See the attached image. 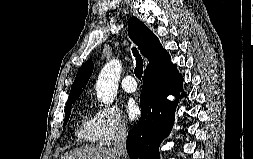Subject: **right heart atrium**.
Masks as SVG:
<instances>
[{
	"label": "right heart atrium",
	"mask_w": 253,
	"mask_h": 159,
	"mask_svg": "<svg viewBox=\"0 0 253 159\" xmlns=\"http://www.w3.org/2000/svg\"><path fill=\"white\" fill-rule=\"evenodd\" d=\"M94 120L99 142L103 145L111 144L113 140L123 136L128 129L120 112L112 106H99L94 114Z\"/></svg>",
	"instance_id": "right-heart-atrium-1"
}]
</instances>
